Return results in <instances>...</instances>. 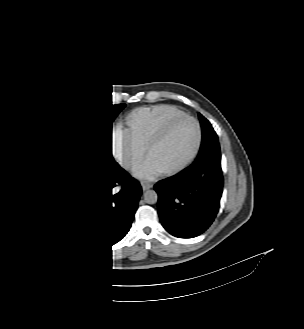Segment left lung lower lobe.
Returning a JSON list of instances; mask_svg holds the SVG:
<instances>
[{"label":"left lung lower lobe","mask_w":304,"mask_h":329,"mask_svg":"<svg viewBox=\"0 0 304 329\" xmlns=\"http://www.w3.org/2000/svg\"><path fill=\"white\" fill-rule=\"evenodd\" d=\"M219 143L213 144L177 178L155 186L164 228L179 238L202 234L214 221L223 190Z\"/></svg>","instance_id":"0a47b994"}]
</instances>
